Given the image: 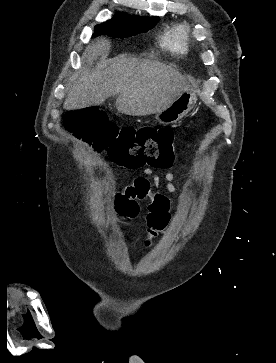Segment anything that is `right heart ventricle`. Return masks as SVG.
Returning a JSON list of instances; mask_svg holds the SVG:
<instances>
[{
	"label": "right heart ventricle",
	"mask_w": 276,
	"mask_h": 363,
	"mask_svg": "<svg viewBox=\"0 0 276 363\" xmlns=\"http://www.w3.org/2000/svg\"><path fill=\"white\" fill-rule=\"evenodd\" d=\"M184 32L185 29L182 26H178L175 29L166 32L162 38L163 46L174 52H185L186 37Z\"/></svg>",
	"instance_id": "1"
}]
</instances>
